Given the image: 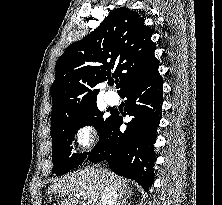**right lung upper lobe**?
<instances>
[{
    "mask_svg": "<svg viewBox=\"0 0 222 205\" xmlns=\"http://www.w3.org/2000/svg\"><path fill=\"white\" fill-rule=\"evenodd\" d=\"M152 29L137 12L120 7L88 36L71 44L58 59L51 87V123L96 104L99 83L117 78V88L159 67Z\"/></svg>",
    "mask_w": 222,
    "mask_h": 205,
    "instance_id": "1",
    "label": "right lung upper lobe"
}]
</instances>
